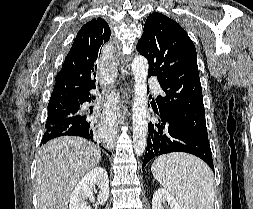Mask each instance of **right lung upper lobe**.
I'll use <instances>...</instances> for the list:
<instances>
[{
	"instance_id": "cb5924a9",
	"label": "right lung upper lobe",
	"mask_w": 253,
	"mask_h": 209,
	"mask_svg": "<svg viewBox=\"0 0 253 209\" xmlns=\"http://www.w3.org/2000/svg\"><path fill=\"white\" fill-rule=\"evenodd\" d=\"M110 35V28L102 18L89 21L79 30L60 72L56 75L49 103H67L95 89L100 48L109 41Z\"/></svg>"
}]
</instances>
